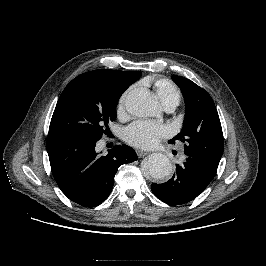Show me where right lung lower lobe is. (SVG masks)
I'll return each instance as SVG.
<instances>
[{
  "label": "right lung lower lobe",
  "instance_id": "obj_1",
  "mask_svg": "<svg viewBox=\"0 0 266 266\" xmlns=\"http://www.w3.org/2000/svg\"><path fill=\"white\" fill-rule=\"evenodd\" d=\"M97 141L59 132L47 137L54 179L71 201L84 207L101 204L112 191L118 168L137 160L135 151L127 145H116L106 156H99Z\"/></svg>",
  "mask_w": 266,
  "mask_h": 266
}]
</instances>
